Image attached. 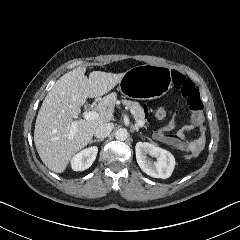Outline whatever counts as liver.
I'll list each match as a JSON object with an SVG mask.
<instances>
[{"label": "liver", "instance_id": "liver-1", "mask_svg": "<svg viewBox=\"0 0 240 240\" xmlns=\"http://www.w3.org/2000/svg\"><path fill=\"white\" fill-rule=\"evenodd\" d=\"M84 72L85 68H76L64 74L45 97L37 115L34 143L43 163L54 172L63 171L70 156L90 142L99 125L110 120L114 103L107 96L103 98L98 106L101 117L95 121L78 119L81 105L88 97L107 93L124 75L93 71L87 77ZM74 125L76 132L69 136Z\"/></svg>", "mask_w": 240, "mask_h": 240}]
</instances>
